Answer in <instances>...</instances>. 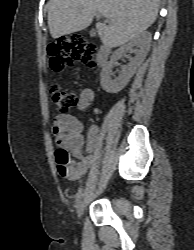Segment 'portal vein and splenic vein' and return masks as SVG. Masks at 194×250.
Segmentation results:
<instances>
[{
  "label": "portal vein and splenic vein",
  "instance_id": "18ae733b",
  "mask_svg": "<svg viewBox=\"0 0 194 250\" xmlns=\"http://www.w3.org/2000/svg\"><path fill=\"white\" fill-rule=\"evenodd\" d=\"M95 16H96L97 18H100V17H101V14L96 13Z\"/></svg>",
  "mask_w": 194,
  "mask_h": 250
}]
</instances>
